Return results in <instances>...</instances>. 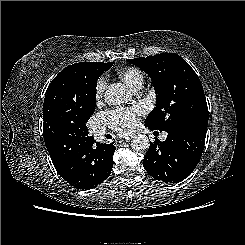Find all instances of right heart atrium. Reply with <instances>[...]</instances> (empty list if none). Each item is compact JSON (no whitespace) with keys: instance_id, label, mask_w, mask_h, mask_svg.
<instances>
[{"instance_id":"right-heart-atrium-1","label":"right heart atrium","mask_w":245,"mask_h":245,"mask_svg":"<svg viewBox=\"0 0 245 245\" xmlns=\"http://www.w3.org/2000/svg\"><path fill=\"white\" fill-rule=\"evenodd\" d=\"M106 78L105 77H100L98 78V80L96 81L95 84V96L97 99L101 98L104 90L106 88Z\"/></svg>"}]
</instances>
